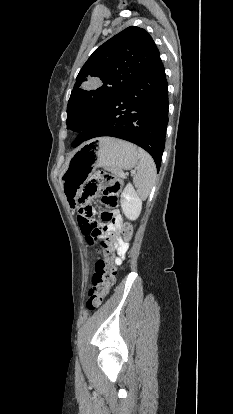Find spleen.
Wrapping results in <instances>:
<instances>
[{
    "instance_id": "obj_1",
    "label": "spleen",
    "mask_w": 233,
    "mask_h": 414,
    "mask_svg": "<svg viewBox=\"0 0 233 414\" xmlns=\"http://www.w3.org/2000/svg\"><path fill=\"white\" fill-rule=\"evenodd\" d=\"M139 162L137 165V173L133 177L134 184L138 194L142 198H146L156 180V165L152 157L143 149L139 148Z\"/></svg>"
}]
</instances>
